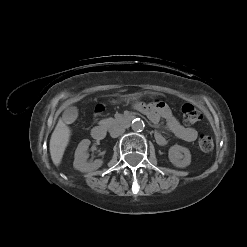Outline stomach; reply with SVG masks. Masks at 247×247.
Wrapping results in <instances>:
<instances>
[{
    "label": "stomach",
    "mask_w": 247,
    "mask_h": 247,
    "mask_svg": "<svg viewBox=\"0 0 247 247\" xmlns=\"http://www.w3.org/2000/svg\"><path fill=\"white\" fill-rule=\"evenodd\" d=\"M140 97H141V95H139V94H132V95L127 96L126 100L127 101H136Z\"/></svg>",
    "instance_id": "1"
}]
</instances>
